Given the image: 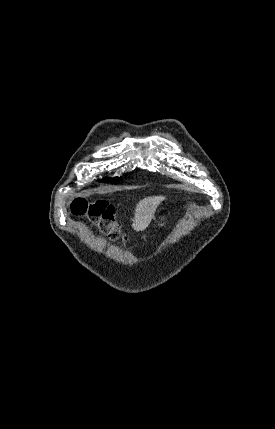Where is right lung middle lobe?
Returning <instances> with one entry per match:
<instances>
[{
  "mask_svg": "<svg viewBox=\"0 0 275 429\" xmlns=\"http://www.w3.org/2000/svg\"><path fill=\"white\" fill-rule=\"evenodd\" d=\"M104 180H105V181H108V182H118V181H120V180H121V178H119V177H116V178H114V179L105 178Z\"/></svg>",
  "mask_w": 275,
  "mask_h": 429,
  "instance_id": "dd1d6c3e",
  "label": "right lung middle lobe"
}]
</instances>
